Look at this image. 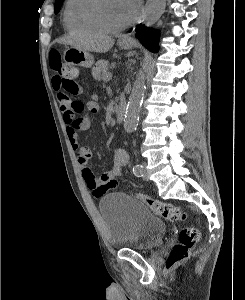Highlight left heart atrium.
Wrapping results in <instances>:
<instances>
[{
	"mask_svg": "<svg viewBox=\"0 0 245 300\" xmlns=\"http://www.w3.org/2000/svg\"><path fill=\"white\" fill-rule=\"evenodd\" d=\"M124 1L131 13V16H134L137 11L139 0H124Z\"/></svg>",
	"mask_w": 245,
	"mask_h": 300,
	"instance_id": "left-heart-atrium-1",
	"label": "left heart atrium"
}]
</instances>
